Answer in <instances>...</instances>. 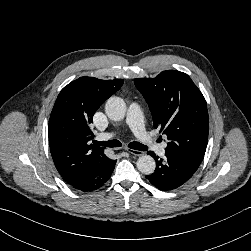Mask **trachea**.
Masks as SVG:
<instances>
[{
    "mask_svg": "<svg viewBox=\"0 0 251 251\" xmlns=\"http://www.w3.org/2000/svg\"><path fill=\"white\" fill-rule=\"evenodd\" d=\"M97 145L100 146H105V147H121L122 144L120 141L118 140H109V141H105V142H96ZM128 147L134 150H139V151H146L147 147L144 146L143 144L139 143V142H131L128 144Z\"/></svg>",
    "mask_w": 251,
    "mask_h": 251,
    "instance_id": "obj_1",
    "label": "trachea"
}]
</instances>
